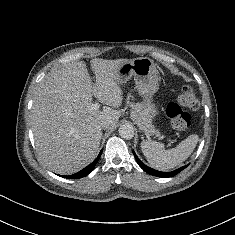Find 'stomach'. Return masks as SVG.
Masks as SVG:
<instances>
[{"label": "stomach", "instance_id": "1", "mask_svg": "<svg viewBox=\"0 0 235 235\" xmlns=\"http://www.w3.org/2000/svg\"><path fill=\"white\" fill-rule=\"evenodd\" d=\"M117 76L119 84L134 78L136 89L143 97L141 106L145 115L152 119L157 113L152 97L159 88L158 72L153 60L147 57L128 60L119 67Z\"/></svg>", "mask_w": 235, "mask_h": 235}]
</instances>
